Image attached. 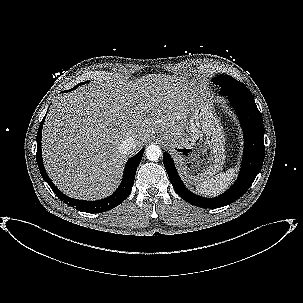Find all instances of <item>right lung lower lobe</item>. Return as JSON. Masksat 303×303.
<instances>
[{"mask_svg": "<svg viewBox=\"0 0 303 303\" xmlns=\"http://www.w3.org/2000/svg\"><path fill=\"white\" fill-rule=\"evenodd\" d=\"M44 119L41 121L38 132H37V163L40 173L44 180L49 184L54 193L58 196L64 203L77 208L78 210L90 212V213H100L105 212L114 207L120 205L130 194L132 186L134 184V178L136 174L137 167L142 159L144 148L141 149L135 156L130 158L125 165L123 179L117 190L109 197L98 200V201H82L70 198L64 195L49 179L42 161L41 152V135Z\"/></svg>", "mask_w": 303, "mask_h": 303, "instance_id": "1", "label": "right lung lower lobe"}]
</instances>
